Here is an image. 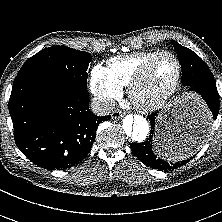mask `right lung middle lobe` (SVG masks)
<instances>
[{"label": "right lung middle lobe", "instance_id": "obj_1", "mask_svg": "<svg viewBox=\"0 0 222 222\" xmlns=\"http://www.w3.org/2000/svg\"><path fill=\"white\" fill-rule=\"evenodd\" d=\"M91 54L66 46L43 49L29 58L21 67L16 78L44 75L57 78L76 87H87V68Z\"/></svg>", "mask_w": 222, "mask_h": 222}]
</instances>
